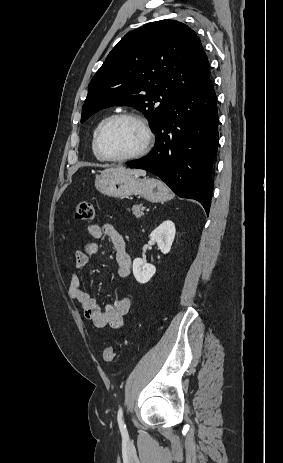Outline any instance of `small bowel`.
<instances>
[{"instance_id": "1", "label": "small bowel", "mask_w": 283, "mask_h": 463, "mask_svg": "<svg viewBox=\"0 0 283 463\" xmlns=\"http://www.w3.org/2000/svg\"><path fill=\"white\" fill-rule=\"evenodd\" d=\"M87 231L95 240L86 243L82 249L74 252L76 271L72 273L69 282L68 292L70 297L75 300L83 310L84 316L91 321L96 327H112L121 329L124 326V316L130 311L132 301L130 297L123 296L114 300L112 304L101 308L97 305L95 299L82 288L81 278L77 271L82 270L88 263L89 257L96 256L99 253L100 246L97 239L108 237L115 251L117 264V275L120 278H126L131 271V257L126 251V243L122 234L109 223L102 226L90 224Z\"/></svg>"}]
</instances>
